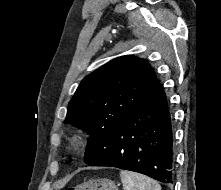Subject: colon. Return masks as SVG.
I'll use <instances>...</instances> for the list:
<instances>
[{
  "label": "colon",
  "mask_w": 221,
  "mask_h": 190,
  "mask_svg": "<svg viewBox=\"0 0 221 190\" xmlns=\"http://www.w3.org/2000/svg\"><path fill=\"white\" fill-rule=\"evenodd\" d=\"M67 190H117L115 184L106 178L85 181Z\"/></svg>",
  "instance_id": "obj_1"
}]
</instances>
